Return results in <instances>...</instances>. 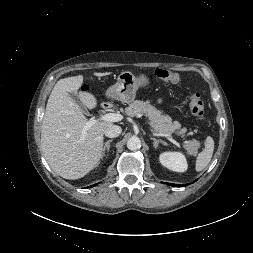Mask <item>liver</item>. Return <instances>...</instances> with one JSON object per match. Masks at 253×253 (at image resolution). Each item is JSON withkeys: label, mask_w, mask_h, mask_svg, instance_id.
Returning a JSON list of instances; mask_svg holds the SVG:
<instances>
[{"label": "liver", "mask_w": 253, "mask_h": 253, "mask_svg": "<svg viewBox=\"0 0 253 253\" xmlns=\"http://www.w3.org/2000/svg\"><path fill=\"white\" fill-rule=\"evenodd\" d=\"M110 72H95L98 77ZM83 83V76L60 79L54 86L45 110L41 126V147L51 168L65 179H79L94 169L102 158L103 135L112 125L96 120L85 133L89 121L80 107L69 96L77 92ZM82 103L89 109L97 105L91 93L79 94Z\"/></svg>", "instance_id": "liver-1"}]
</instances>
